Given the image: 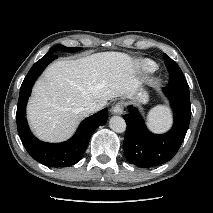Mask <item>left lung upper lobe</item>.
Here are the masks:
<instances>
[{"label": "left lung upper lobe", "instance_id": "5c2ea615", "mask_svg": "<svg viewBox=\"0 0 213 213\" xmlns=\"http://www.w3.org/2000/svg\"><path fill=\"white\" fill-rule=\"evenodd\" d=\"M164 60L170 74L168 86L184 91H189V86L179 66L166 54H164Z\"/></svg>", "mask_w": 213, "mask_h": 213}]
</instances>
